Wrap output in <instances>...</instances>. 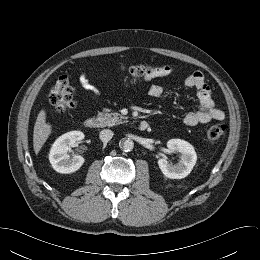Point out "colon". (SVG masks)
Masks as SVG:
<instances>
[{"instance_id": "colon-1", "label": "colon", "mask_w": 260, "mask_h": 260, "mask_svg": "<svg viewBox=\"0 0 260 260\" xmlns=\"http://www.w3.org/2000/svg\"><path fill=\"white\" fill-rule=\"evenodd\" d=\"M124 71L136 82L149 79L153 73V69L146 65L129 66L124 68ZM49 102L59 113H64L74 106L73 88L68 75H62L56 80L50 90ZM225 129V125L220 123L210 125L206 131L208 141H218L224 135Z\"/></svg>"}]
</instances>
